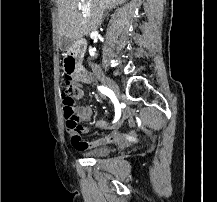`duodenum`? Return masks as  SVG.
<instances>
[{
	"instance_id": "1",
	"label": "duodenum",
	"mask_w": 217,
	"mask_h": 202,
	"mask_svg": "<svg viewBox=\"0 0 217 202\" xmlns=\"http://www.w3.org/2000/svg\"><path fill=\"white\" fill-rule=\"evenodd\" d=\"M84 52V44L78 42L70 49L64 57L65 71L75 80L80 82H88L89 78L82 66V56Z\"/></svg>"
}]
</instances>
